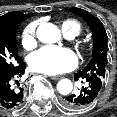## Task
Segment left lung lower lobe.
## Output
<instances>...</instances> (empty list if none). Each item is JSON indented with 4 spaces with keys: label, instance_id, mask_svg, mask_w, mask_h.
<instances>
[{
    "label": "left lung lower lobe",
    "instance_id": "left-lung-lower-lobe-1",
    "mask_svg": "<svg viewBox=\"0 0 117 117\" xmlns=\"http://www.w3.org/2000/svg\"><path fill=\"white\" fill-rule=\"evenodd\" d=\"M74 79L84 80L86 82V86L83 87L80 93L66 96L63 100L64 106L74 109L91 105L96 100L102 88L103 79L95 73H85L83 71L75 73Z\"/></svg>",
    "mask_w": 117,
    "mask_h": 117
}]
</instances>
